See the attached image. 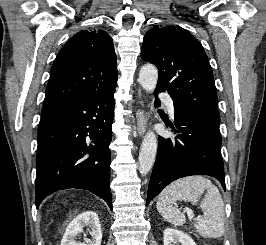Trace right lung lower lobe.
<instances>
[{
	"instance_id": "right-lung-lower-lobe-1",
	"label": "right lung lower lobe",
	"mask_w": 266,
	"mask_h": 245,
	"mask_svg": "<svg viewBox=\"0 0 266 245\" xmlns=\"http://www.w3.org/2000/svg\"><path fill=\"white\" fill-rule=\"evenodd\" d=\"M115 89L85 96L42 116L38 127L36 207L53 192L78 188L112 209L110 149Z\"/></svg>"
}]
</instances>
